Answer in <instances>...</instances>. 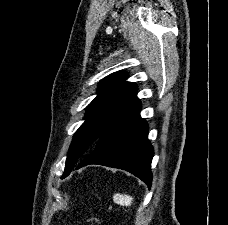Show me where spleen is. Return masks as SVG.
I'll return each instance as SVG.
<instances>
[{"label": "spleen", "mask_w": 228, "mask_h": 225, "mask_svg": "<svg viewBox=\"0 0 228 225\" xmlns=\"http://www.w3.org/2000/svg\"><path fill=\"white\" fill-rule=\"evenodd\" d=\"M113 201L118 205H123V207H131L133 197H130V195H114Z\"/></svg>", "instance_id": "obj_1"}]
</instances>
